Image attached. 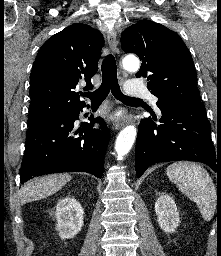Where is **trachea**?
<instances>
[{
    "instance_id": "1",
    "label": "trachea",
    "mask_w": 221,
    "mask_h": 256,
    "mask_svg": "<svg viewBox=\"0 0 221 256\" xmlns=\"http://www.w3.org/2000/svg\"><path fill=\"white\" fill-rule=\"evenodd\" d=\"M102 83L100 87L93 92L82 93L83 96L89 98L92 103L103 101L111 91L113 96L122 102L140 101L138 98H132L124 95L117 79V66L113 55H107L102 61Z\"/></svg>"
}]
</instances>
